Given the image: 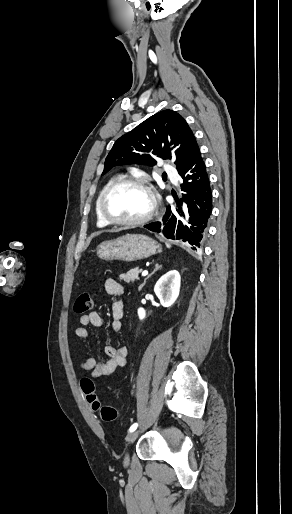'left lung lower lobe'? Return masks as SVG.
Returning <instances> with one entry per match:
<instances>
[{
	"instance_id": "obj_1",
	"label": "left lung lower lobe",
	"mask_w": 292,
	"mask_h": 514,
	"mask_svg": "<svg viewBox=\"0 0 292 514\" xmlns=\"http://www.w3.org/2000/svg\"><path fill=\"white\" fill-rule=\"evenodd\" d=\"M178 172L183 179L181 197L174 196L176 205L166 206L158 222L144 227L166 238L187 242L196 250L206 238L213 207L209 176L196 139Z\"/></svg>"
}]
</instances>
